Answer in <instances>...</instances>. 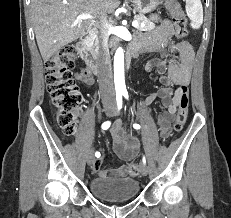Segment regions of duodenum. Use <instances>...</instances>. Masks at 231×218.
<instances>
[{"mask_svg":"<svg viewBox=\"0 0 231 218\" xmlns=\"http://www.w3.org/2000/svg\"><path fill=\"white\" fill-rule=\"evenodd\" d=\"M95 34V27L89 26L86 33L81 37L77 48L81 55L83 56L86 66L90 72L94 74L100 73V62L98 57L91 51L90 43L93 35ZM138 56V51L134 48H131L127 53V59L131 61L132 59Z\"/></svg>","mask_w":231,"mask_h":218,"instance_id":"1","label":"duodenum"}]
</instances>
